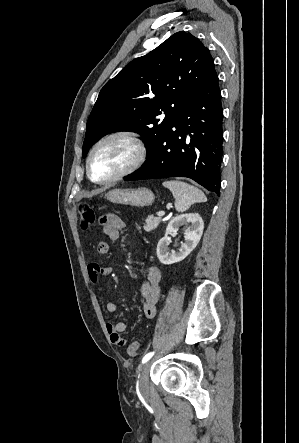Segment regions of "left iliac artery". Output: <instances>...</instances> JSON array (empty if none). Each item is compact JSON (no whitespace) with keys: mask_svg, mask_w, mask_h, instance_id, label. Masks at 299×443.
Listing matches in <instances>:
<instances>
[{"mask_svg":"<svg viewBox=\"0 0 299 443\" xmlns=\"http://www.w3.org/2000/svg\"><path fill=\"white\" fill-rule=\"evenodd\" d=\"M154 355V352H149L147 353L143 359H142V364L146 363L147 361H149L151 359V357Z\"/></svg>","mask_w":299,"mask_h":443,"instance_id":"obj_1","label":"left iliac artery"}]
</instances>
